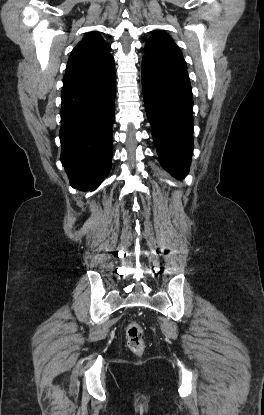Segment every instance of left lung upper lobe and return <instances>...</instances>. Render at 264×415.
<instances>
[{
    "instance_id": "left-lung-upper-lobe-1",
    "label": "left lung upper lobe",
    "mask_w": 264,
    "mask_h": 415,
    "mask_svg": "<svg viewBox=\"0 0 264 415\" xmlns=\"http://www.w3.org/2000/svg\"><path fill=\"white\" fill-rule=\"evenodd\" d=\"M144 50V57L146 58L167 65L187 68L182 52L178 46L169 35L162 31L156 30L152 33Z\"/></svg>"
}]
</instances>
